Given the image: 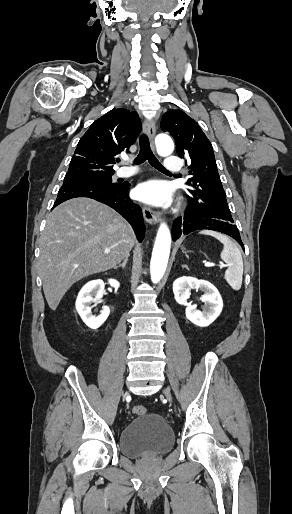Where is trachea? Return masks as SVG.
Segmentation results:
<instances>
[{"mask_svg":"<svg viewBox=\"0 0 292 514\" xmlns=\"http://www.w3.org/2000/svg\"><path fill=\"white\" fill-rule=\"evenodd\" d=\"M139 145V154L133 162L135 165H140L143 162H145V160H148L150 165H152V167H154L155 169L166 171L165 167H163V165L159 162V160L156 159L155 155L153 154L150 147L149 139L146 135L143 134L140 136Z\"/></svg>","mask_w":292,"mask_h":514,"instance_id":"trachea-1","label":"trachea"}]
</instances>
